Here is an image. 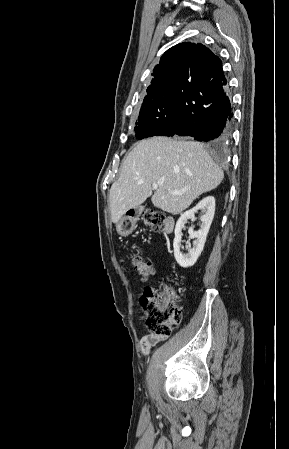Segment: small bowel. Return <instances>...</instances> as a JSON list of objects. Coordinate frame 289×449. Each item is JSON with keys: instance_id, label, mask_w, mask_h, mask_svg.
Wrapping results in <instances>:
<instances>
[{"instance_id": "c3829d8e", "label": "small bowel", "mask_w": 289, "mask_h": 449, "mask_svg": "<svg viewBox=\"0 0 289 449\" xmlns=\"http://www.w3.org/2000/svg\"><path fill=\"white\" fill-rule=\"evenodd\" d=\"M164 338L155 335H144L140 338L139 344L142 352L147 354L150 348Z\"/></svg>"}]
</instances>
